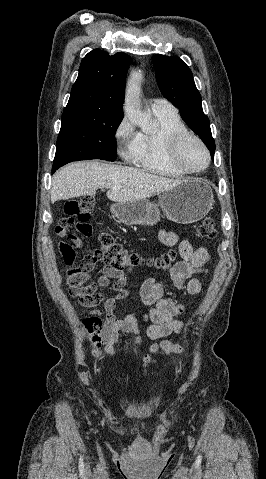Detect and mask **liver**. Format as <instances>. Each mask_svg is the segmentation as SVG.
Masks as SVG:
<instances>
[{
    "label": "liver",
    "mask_w": 266,
    "mask_h": 479,
    "mask_svg": "<svg viewBox=\"0 0 266 479\" xmlns=\"http://www.w3.org/2000/svg\"><path fill=\"white\" fill-rule=\"evenodd\" d=\"M183 181L185 180L169 179L133 167L82 161L71 163L54 174L50 196L54 203L83 195L94 196L98 189L107 188L109 200L126 202L146 199Z\"/></svg>",
    "instance_id": "obj_1"
}]
</instances>
